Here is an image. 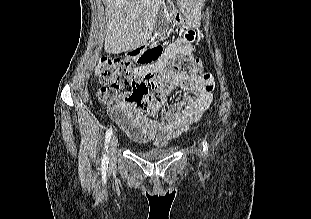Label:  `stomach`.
I'll list each match as a JSON object with an SVG mask.
<instances>
[{
	"label": "stomach",
	"mask_w": 311,
	"mask_h": 219,
	"mask_svg": "<svg viewBox=\"0 0 311 219\" xmlns=\"http://www.w3.org/2000/svg\"><path fill=\"white\" fill-rule=\"evenodd\" d=\"M162 17L166 22L170 20L177 26H185L190 21V18L186 16L181 10L174 12L171 16L165 17L162 15Z\"/></svg>",
	"instance_id": "stomach-1"
}]
</instances>
